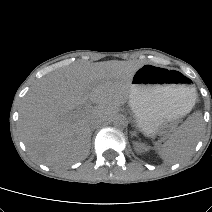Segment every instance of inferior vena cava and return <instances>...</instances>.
I'll list each match as a JSON object with an SVG mask.
<instances>
[{
  "label": "inferior vena cava",
  "instance_id": "1",
  "mask_svg": "<svg viewBox=\"0 0 212 212\" xmlns=\"http://www.w3.org/2000/svg\"><path fill=\"white\" fill-rule=\"evenodd\" d=\"M101 121L102 120L100 118L94 117L90 120V126L93 128V127L97 126L98 124H100Z\"/></svg>",
  "mask_w": 212,
  "mask_h": 212
}]
</instances>
